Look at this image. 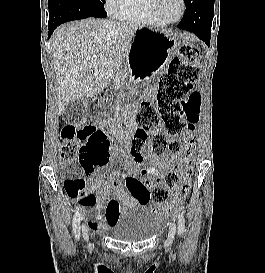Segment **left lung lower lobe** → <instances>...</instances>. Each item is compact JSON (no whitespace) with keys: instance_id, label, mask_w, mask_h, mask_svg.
Here are the masks:
<instances>
[{"instance_id":"1","label":"left lung lower lobe","mask_w":265,"mask_h":273,"mask_svg":"<svg viewBox=\"0 0 265 273\" xmlns=\"http://www.w3.org/2000/svg\"><path fill=\"white\" fill-rule=\"evenodd\" d=\"M214 6V0H192L178 25L179 29L193 32L210 46L211 27L205 23L206 11Z\"/></svg>"}]
</instances>
